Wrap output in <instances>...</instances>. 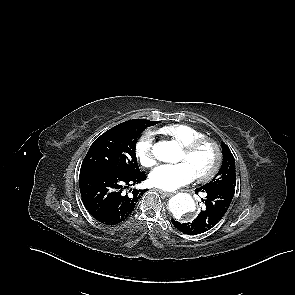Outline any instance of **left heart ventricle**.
Here are the masks:
<instances>
[{
	"instance_id": "obj_1",
	"label": "left heart ventricle",
	"mask_w": 295,
	"mask_h": 295,
	"mask_svg": "<svg viewBox=\"0 0 295 295\" xmlns=\"http://www.w3.org/2000/svg\"><path fill=\"white\" fill-rule=\"evenodd\" d=\"M214 160L215 152L209 144L203 145L192 155H187L182 151L179 157V161L188 163L196 175L207 172L212 167Z\"/></svg>"
}]
</instances>
